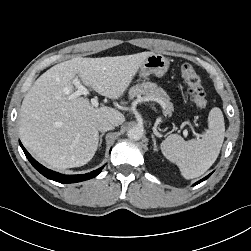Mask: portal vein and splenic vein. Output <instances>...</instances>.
Wrapping results in <instances>:
<instances>
[{"instance_id":"1","label":"portal vein and splenic vein","mask_w":251,"mask_h":251,"mask_svg":"<svg viewBox=\"0 0 251 251\" xmlns=\"http://www.w3.org/2000/svg\"><path fill=\"white\" fill-rule=\"evenodd\" d=\"M73 84L77 88V91H75V93L73 94V97H78V96H81V95H85V96L89 95L88 89L81 84V82L78 80V78L73 79ZM91 104H92L93 107H98V105H99L98 99L97 98H92L91 99ZM183 134H184V136H187L188 135L187 130H184Z\"/></svg>"}]
</instances>
